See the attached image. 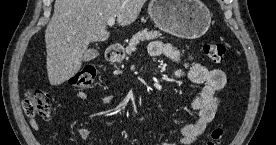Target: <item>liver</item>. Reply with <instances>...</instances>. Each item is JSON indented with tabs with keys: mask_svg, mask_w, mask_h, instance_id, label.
Here are the masks:
<instances>
[{
	"mask_svg": "<svg viewBox=\"0 0 276 145\" xmlns=\"http://www.w3.org/2000/svg\"><path fill=\"white\" fill-rule=\"evenodd\" d=\"M146 0H56L45 31L47 73L52 86L60 85L81 68L91 42L109 38L107 20L133 23Z\"/></svg>",
	"mask_w": 276,
	"mask_h": 145,
	"instance_id": "liver-1",
	"label": "liver"
}]
</instances>
